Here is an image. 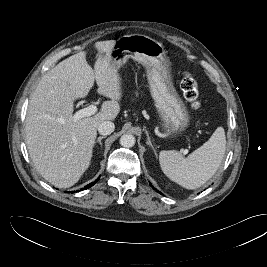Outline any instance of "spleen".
<instances>
[{
    "mask_svg": "<svg viewBox=\"0 0 267 267\" xmlns=\"http://www.w3.org/2000/svg\"><path fill=\"white\" fill-rule=\"evenodd\" d=\"M226 150V137L218 127L210 139L188 157L174 150L161 151L159 163L163 173L186 189H197L204 185L218 170Z\"/></svg>",
    "mask_w": 267,
    "mask_h": 267,
    "instance_id": "spleen-1",
    "label": "spleen"
}]
</instances>
